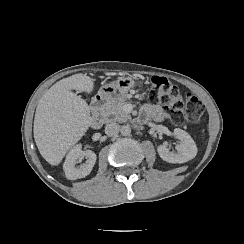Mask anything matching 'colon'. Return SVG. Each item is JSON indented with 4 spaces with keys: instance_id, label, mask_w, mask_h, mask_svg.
<instances>
[{
    "instance_id": "5ec220e1",
    "label": "colon",
    "mask_w": 244,
    "mask_h": 244,
    "mask_svg": "<svg viewBox=\"0 0 244 244\" xmlns=\"http://www.w3.org/2000/svg\"><path fill=\"white\" fill-rule=\"evenodd\" d=\"M147 100L151 104L164 105L165 111L173 117V123L177 125L182 123L183 117L197 122L204 112L203 104L197 96L187 94L185 98H181L177 86L162 76L151 78Z\"/></svg>"
}]
</instances>
